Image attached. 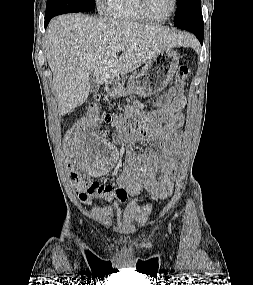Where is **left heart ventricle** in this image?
Wrapping results in <instances>:
<instances>
[{"mask_svg":"<svg viewBox=\"0 0 253 285\" xmlns=\"http://www.w3.org/2000/svg\"><path fill=\"white\" fill-rule=\"evenodd\" d=\"M146 8L152 17L164 18L172 9V0H146Z\"/></svg>","mask_w":253,"mask_h":285,"instance_id":"left-heart-ventricle-1","label":"left heart ventricle"}]
</instances>
